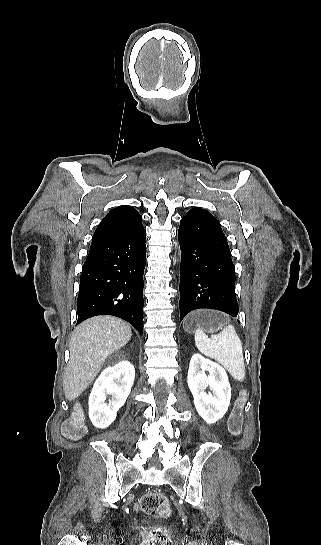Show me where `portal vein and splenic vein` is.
<instances>
[{
	"label": "portal vein and splenic vein",
	"instance_id": "portal-vein-and-splenic-vein-1",
	"mask_svg": "<svg viewBox=\"0 0 321 545\" xmlns=\"http://www.w3.org/2000/svg\"><path fill=\"white\" fill-rule=\"evenodd\" d=\"M218 344H223V341H218Z\"/></svg>",
	"mask_w": 321,
	"mask_h": 545
}]
</instances>
